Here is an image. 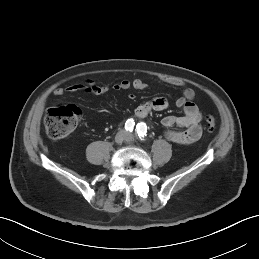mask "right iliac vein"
Instances as JSON below:
<instances>
[{"label":"right iliac vein","mask_w":259,"mask_h":259,"mask_svg":"<svg viewBox=\"0 0 259 259\" xmlns=\"http://www.w3.org/2000/svg\"><path fill=\"white\" fill-rule=\"evenodd\" d=\"M126 132L125 131H120L116 134L115 136V143L117 144H121L123 141L126 140Z\"/></svg>","instance_id":"63e3f726"}]
</instances>
